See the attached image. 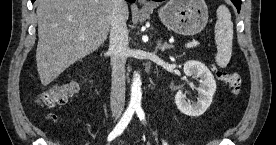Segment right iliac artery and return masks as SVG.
Returning <instances> with one entry per match:
<instances>
[{"instance_id": "1", "label": "right iliac artery", "mask_w": 276, "mask_h": 145, "mask_svg": "<svg viewBox=\"0 0 276 145\" xmlns=\"http://www.w3.org/2000/svg\"><path fill=\"white\" fill-rule=\"evenodd\" d=\"M135 112V108L133 107H128L125 113L123 114L122 118L118 122V124L115 126L113 131L109 134L108 136V141H112L115 139L117 136L121 135L129 122L131 121L133 115Z\"/></svg>"}]
</instances>
